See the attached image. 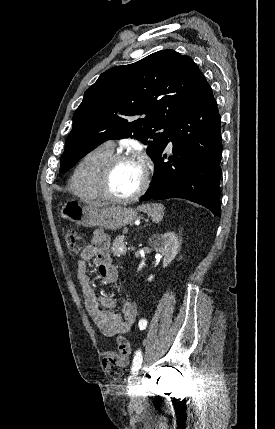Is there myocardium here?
I'll return each mask as SVG.
<instances>
[{"mask_svg":"<svg viewBox=\"0 0 275 429\" xmlns=\"http://www.w3.org/2000/svg\"><path fill=\"white\" fill-rule=\"evenodd\" d=\"M127 160H137L142 164L144 170L143 179L139 188L133 194L125 197H120L114 195L110 191L109 181L115 166L118 163ZM149 177V164L140 155L134 152H118L112 154L101 166L96 180V188L99 196L104 200L115 203H128L138 199L145 192L148 186Z\"/></svg>","mask_w":275,"mask_h":429,"instance_id":"1","label":"myocardium"}]
</instances>
